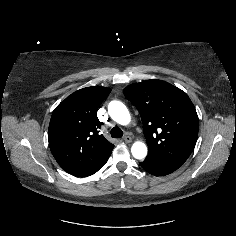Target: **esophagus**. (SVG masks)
Instances as JSON below:
<instances>
[{
  "label": "esophagus",
  "instance_id": "obj_1",
  "mask_svg": "<svg viewBox=\"0 0 236 236\" xmlns=\"http://www.w3.org/2000/svg\"><path fill=\"white\" fill-rule=\"evenodd\" d=\"M123 140L126 142V143H130L132 141V138L130 136H125L123 137Z\"/></svg>",
  "mask_w": 236,
  "mask_h": 236
}]
</instances>
